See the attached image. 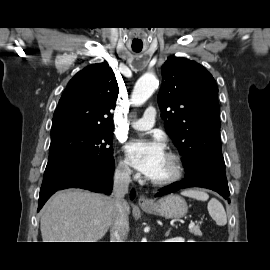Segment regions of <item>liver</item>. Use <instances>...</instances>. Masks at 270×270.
<instances>
[{
  "label": "liver",
  "instance_id": "obj_1",
  "mask_svg": "<svg viewBox=\"0 0 270 270\" xmlns=\"http://www.w3.org/2000/svg\"><path fill=\"white\" fill-rule=\"evenodd\" d=\"M114 209L112 196L78 189L60 191L42 210L43 242H97L111 226ZM126 212L130 213L128 203Z\"/></svg>",
  "mask_w": 270,
  "mask_h": 270
}]
</instances>
